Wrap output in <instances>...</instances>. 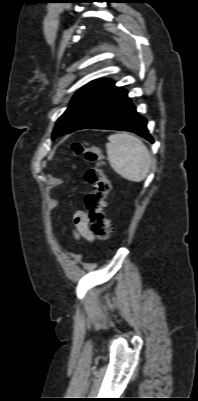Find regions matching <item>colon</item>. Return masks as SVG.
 I'll return each instance as SVG.
<instances>
[{"mask_svg": "<svg viewBox=\"0 0 198 401\" xmlns=\"http://www.w3.org/2000/svg\"><path fill=\"white\" fill-rule=\"evenodd\" d=\"M72 152L74 155L83 156L91 164L85 172V180L91 186V190L85 196V205L92 231L98 239L105 241L111 233L110 220L106 215L110 183L102 169L101 150L96 145L73 143Z\"/></svg>", "mask_w": 198, "mask_h": 401, "instance_id": "colon-1", "label": "colon"}]
</instances>
